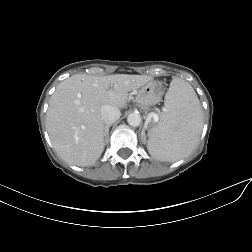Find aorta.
Listing matches in <instances>:
<instances>
[{
  "mask_svg": "<svg viewBox=\"0 0 252 252\" xmlns=\"http://www.w3.org/2000/svg\"><path fill=\"white\" fill-rule=\"evenodd\" d=\"M127 122L130 126L137 127L141 123V117L138 113H130L127 117Z\"/></svg>",
  "mask_w": 252,
  "mask_h": 252,
  "instance_id": "obj_1",
  "label": "aorta"
}]
</instances>
